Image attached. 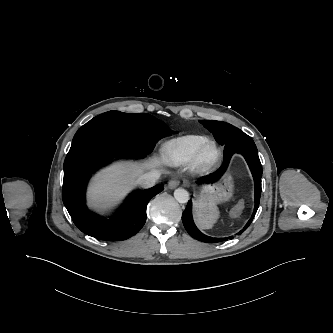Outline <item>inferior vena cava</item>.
<instances>
[{
    "label": "inferior vena cava",
    "mask_w": 333,
    "mask_h": 333,
    "mask_svg": "<svg viewBox=\"0 0 333 333\" xmlns=\"http://www.w3.org/2000/svg\"><path fill=\"white\" fill-rule=\"evenodd\" d=\"M159 178L160 173L158 171H152L139 176V178L136 180V183L142 188L147 189L153 187Z\"/></svg>",
    "instance_id": "obj_1"
}]
</instances>
